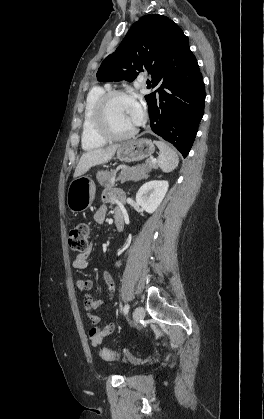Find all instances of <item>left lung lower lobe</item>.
<instances>
[{
	"label": "left lung lower lobe",
	"instance_id": "1",
	"mask_svg": "<svg viewBox=\"0 0 264 419\" xmlns=\"http://www.w3.org/2000/svg\"><path fill=\"white\" fill-rule=\"evenodd\" d=\"M156 85L159 88L145 96L150 128L186 157L203 117L205 88L184 34L169 43L165 66L152 82V87Z\"/></svg>",
	"mask_w": 264,
	"mask_h": 419
}]
</instances>
